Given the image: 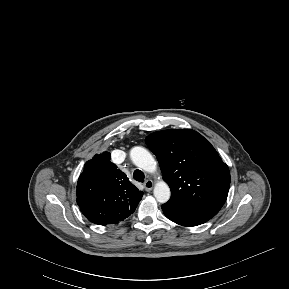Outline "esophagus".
<instances>
[{
  "label": "esophagus",
  "instance_id": "1",
  "mask_svg": "<svg viewBox=\"0 0 289 289\" xmlns=\"http://www.w3.org/2000/svg\"><path fill=\"white\" fill-rule=\"evenodd\" d=\"M153 186H154V183L150 179L146 180L145 183H144V188H145L146 191H151Z\"/></svg>",
  "mask_w": 289,
  "mask_h": 289
}]
</instances>
